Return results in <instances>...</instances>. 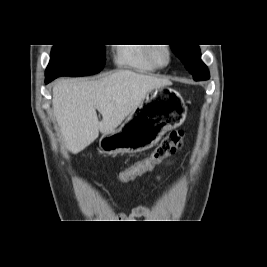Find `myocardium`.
<instances>
[{"instance_id":"myocardium-1","label":"myocardium","mask_w":267,"mask_h":267,"mask_svg":"<svg viewBox=\"0 0 267 267\" xmlns=\"http://www.w3.org/2000/svg\"><path fill=\"white\" fill-rule=\"evenodd\" d=\"M161 52L165 55L164 61L159 59ZM149 59L158 68L167 67L172 61V52L170 47L165 44H156L155 46H151L149 50Z\"/></svg>"}]
</instances>
